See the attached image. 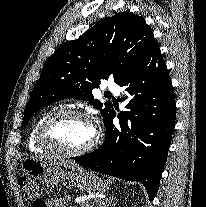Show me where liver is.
Segmentation results:
<instances>
[{"instance_id": "1", "label": "liver", "mask_w": 206, "mask_h": 207, "mask_svg": "<svg viewBox=\"0 0 206 207\" xmlns=\"http://www.w3.org/2000/svg\"><path fill=\"white\" fill-rule=\"evenodd\" d=\"M40 159H48V160H54L56 162H59L61 165H63L64 167H67V168H72V169H75V168H79V166H77L75 163L73 162H70V161H64V160H58L57 157H54V156H43V157H40Z\"/></svg>"}]
</instances>
